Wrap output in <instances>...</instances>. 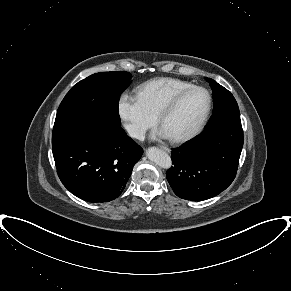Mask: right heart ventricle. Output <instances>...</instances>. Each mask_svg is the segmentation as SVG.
Listing matches in <instances>:
<instances>
[{"instance_id": "1", "label": "right heart ventricle", "mask_w": 291, "mask_h": 291, "mask_svg": "<svg viewBox=\"0 0 291 291\" xmlns=\"http://www.w3.org/2000/svg\"><path fill=\"white\" fill-rule=\"evenodd\" d=\"M192 85L177 78L159 77L143 83L136 92L147 111L157 118L161 109L176 93Z\"/></svg>"}]
</instances>
